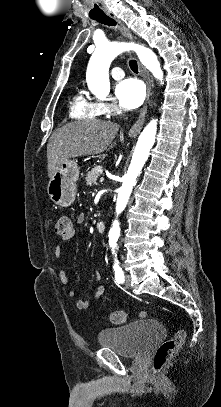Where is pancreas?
<instances>
[{
  "label": "pancreas",
  "instance_id": "pancreas-1",
  "mask_svg": "<svg viewBox=\"0 0 221 407\" xmlns=\"http://www.w3.org/2000/svg\"><path fill=\"white\" fill-rule=\"evenodd\" d=\"M101 173H102V166H96L93 169H91L85 177L86 184L87 185L96 184Z\"/></svg>",
  "mask_w": 221,
  "mask_h": 407
}]
</instances>
